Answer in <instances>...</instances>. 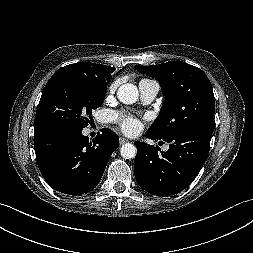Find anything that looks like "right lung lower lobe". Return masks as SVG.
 <instances>
[{"label":"right lung lower lobe","mask_w":253,"mask_h":253,"mask_svg":"<svg viewBox=\"0 0 253 253\" xmlns=\"http://www.w3.org/2000/svg\"><path fill=\"white\" fill-rule=\"evenodd\" d=\"M89 141L82 130L51 127L35 131L34 149L39 169L56 191L80 195L93 190L118 147L119 137L103 128Z\"/></svg>","instance_id":"obj_1"}]
</instances>
